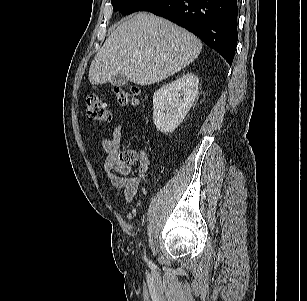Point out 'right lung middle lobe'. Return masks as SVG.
Segmentation results:
<instances>
[{
  "instance_id": "dd1d6c3e",
  "label": "right lung middle lobe",
  "mask_w": 307,
  "mask_h": 301,
  "mask_svg": "<svg viewBox=\"0 0 307 301\" xmlns=\"http://www.w3.org/2000/svg\"><path fill=\"white\" fill-rule=\"evenodd\" d=\"M156 0H111L113 10L122 14H131L141 11Z\"/></svg>"
}]
</instances>
